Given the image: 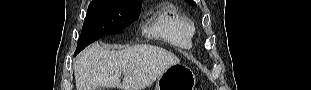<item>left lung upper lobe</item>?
<instances>
[{
    "mask_svg": "<svg viewBox=\"0 0 311 90\" xmlns=\"http://www.w3.org/2000/svg\"><path fill=\"white\" fill-rule=\"evenodd\" d=\"M186 2H188L190 5H193V6L196 5V3L193 0H186Z\"/></svg>",
    "mask_w": 311,
    "mask_h": 90,
    "instance_id": "1",
    "label": "left lung upper lobe"
}]
</instances>
